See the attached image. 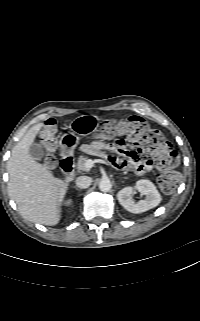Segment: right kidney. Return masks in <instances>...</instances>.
<instances>
[{
    "label": "right kidney",
    "mask_w": 200,
    "mask_h": 321,
    "mask_svg": "<svg viewBox=\"0 0 200 321\" xmlns=\"http://www.w3.org/2000/svg\"><path fill=\"white\" fill-rule=\"evenodd\" d=\"M70 203H71V201H70V200H68V201H67V205H70Z\"/></svg>",
    "instance_id": "obj_1"
}]
</instances>
